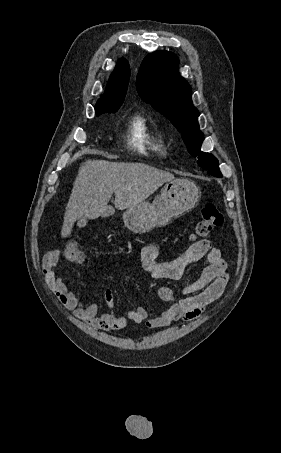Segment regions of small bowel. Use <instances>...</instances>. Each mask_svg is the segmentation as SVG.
Returning a JSON list of instances; mask_svg holds the SVG:
<instances>
[{
    "instance_id": "small-bowel-1",
    "label": "small bowel",
    "mask_w": 281,
    "mask_h": 453,
    "mask_svg": "<svg viewBox=\"0 0 281 453\" xmlns=\"http://www.w3.org/2000/svg\"><path fill=\"white\" fill-rule=\"evenodd\" d=\"M60 256L61 251L58 249L51 250L44 256L42 265L46 280L76 316L102 331L120 330L141 322H145L150 328H160L180 318L198 320L202 311L221 297L229 280L225 260L219 250L210 247L207 239L196 241L176 259L164 262L158 261V244L151 242L144 246L141 255L142 268L149 275L154 278L178 280L194 261L204 258L200 277L183 287L185 297L182 299H177L172 288L159 287L156 291L159 299L171 304L160 311L150 312L139 307L122 315L110 311L100 313L95 304L80 300L56 275ZM102 296L107 304H112L115 300V292L110 288L105 289Z\"/></svg>"
}]
</instances>
